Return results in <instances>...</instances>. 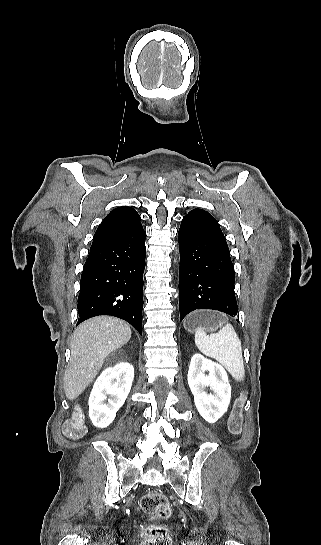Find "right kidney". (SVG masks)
Segmentation results:
<instances>
[{"instance_id": "obj_1", "label": "right kidney", "mask_w": 321, "mask_h": 545, "mask_svg": "<svg viewBox=\"0 0 321 545\" xmlns=\"http://www.w3.org/2000/svg\"><path fill=\"white\" fill-rule=\"evenodd\" d=\"M133 379L134 367L129 363H118L101 373L89 397V417L95 427L105 429L114 421L130 393Z\"/></svg>"}]
</instances>
